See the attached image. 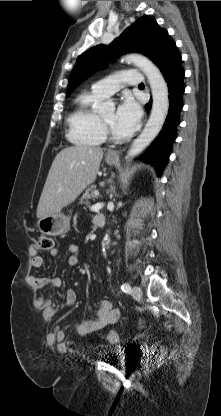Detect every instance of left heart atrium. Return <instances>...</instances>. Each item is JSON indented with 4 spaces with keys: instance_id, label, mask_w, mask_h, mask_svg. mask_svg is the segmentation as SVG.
I'll use <instances>...</instances> for the list:
<instances>
[{
    "instance_id": "39dd6f15",
    "label": "left heart atrium",
    "mask_w": 221,
    "mask_h": 416,
    "mask_svg": "<svg viewBox=\"0 0 221 416\" xmlns=\"http://www.w3.org/2000/svg\"><path fill=\"white\" fill-rule=\"evenodd\" d=\"M140 118V106L131 97H126L116 110L115 127L122 136L129 135L137 129Z\"/></svg>"
}]
</instances>
